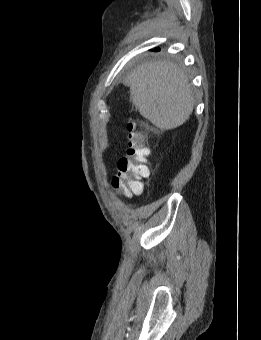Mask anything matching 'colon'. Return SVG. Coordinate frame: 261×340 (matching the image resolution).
<instances>
[{"label":"colon","instance_id":"obj_1","mask_svg":"<svg viewBox=\"0 0 261 340\" xmlns=\"http://www.w3.org/2000/svg\"><path fill=\"white\" fill-rule=\"evenodd\" d=\"M128 148L126 156L118 161V175L112 185L116 192L131 197L142 192V180L149 175L146 165L149 148L145 144V135L134 121L127 124Z\"/></svg>","mask_w":261,"mask_h":340}]
</instances>
